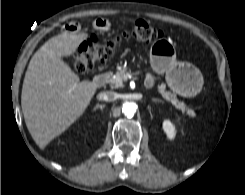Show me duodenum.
Here are the masks:
<instances>
[{
    "mask_svg": "<svg viewBox=\"0 0 245 195\" xmlns=\"http://www.w3.org/2000/svg\"><path fill=\"white\" fill-rule=\"evenodd\" d=\"M107 79H108L107 73H100L94 77V79L92 80V83L96 87H101L105 84Z\"/></svg>",
    "mask_w": 245,
    "mask_h": 195,
    "instance_id": "obj_1",
    "label": "duodenum"
}]
</instances>
